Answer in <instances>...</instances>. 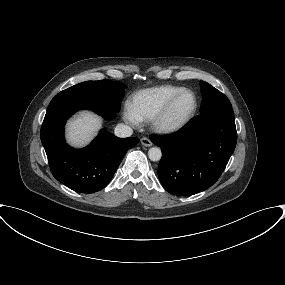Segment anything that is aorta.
Returning a JSON list of instances; mask_svg holds the SVG:
<instances>
[{
	"mask_svg": "<svg viewBox=\"0 0 285 285\" xmlns=\"http://www.w3.org/2000/svg\"><path fill=\"white\" fill-rule=\"evenodd\" d=\"M148 156L151 161H159L162 156L161 149L158 147H152L148 151Z\"/></svg>",
	"mask_w": 285,
	"mask_h": 285,
	"instance_id": "aorta-1",
	"label": "aorta"
}]
</instances>
